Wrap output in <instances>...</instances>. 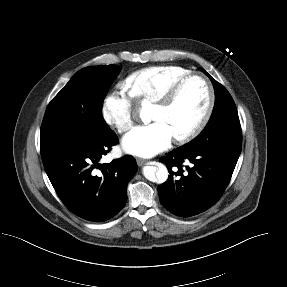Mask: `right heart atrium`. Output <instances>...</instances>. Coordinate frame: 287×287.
<instances>
[{
	"label": "right heart atrium",
	"mask_w": 287,
	"mask_h": 287,
	"mask_svg": "<svg viewBox=\"0 0 287 287\" xmlns=\"http://www.w3.org/2000/svg\"><path fill=\"white\" fill-rule=\"evenodd\" d=\"M134 97L127 87L118 86L109 93L101 105V116L104 122L119 133L128 131L134 122Z\"/></svg>",
	"instance_id": "d8ad5b80"
}]
</instances>
